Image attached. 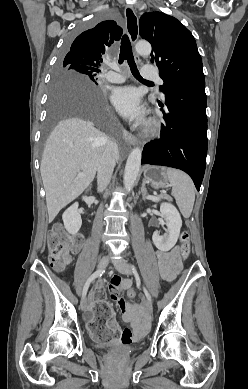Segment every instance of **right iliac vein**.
<instances>
[{
    "label": "right iliac vein",
    "instance_id": "1",
    "mask_svg": "<svg viewBox=\"0 0 248 389\" xmlns=\"http://www.w3.org/2000/svg\"><path fill=\"white\" fill-rule=\"evenodd\" d=\"M108 262H109V257L108 256H104L100 259L99 263H98V269H103L105 268L107 265H108ZM80 307L83 311L86 310V307H87V299H86V296H83L82 299H81V302H80Z\"/></svg>",
    "mask_w": 248,
    "mask_h": 389
}]
</instances>
